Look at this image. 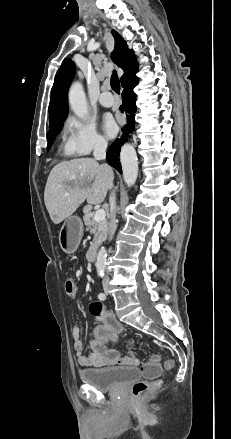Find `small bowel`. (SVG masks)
<instances>
[{"mask_svg":"<svg viewBox=\"0 0 231 439\" xmlns=\"http://www.w3.org/2000/svg\"><path fill=\"white\" fill-rule=\"evenodd\" d=\"M99 320L101 323L93 328L91 350L88 353L83 351L79 326L74 324L72 328L73 348L78 364L81 367L137 364L134 353L129 352L128 355L121 357L118 350L109 347V344L118 342L119 335L123 332V327L115 316L106 312L105 317Z\"/></svg>","mask_w":231,"mask_h":439,"instance_id":"1","label":"small bowel"}]
</instances>
